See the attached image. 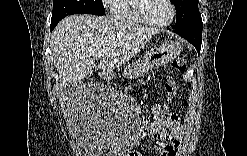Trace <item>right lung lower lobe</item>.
I'll return each mask as SVG.
<instances>
[{
    "label": "right lung lower lobe",
    "mask_w": 247,
    "mask_h": 156,
    "mask_svg": "<svg viewBox=\"0 0 247 156\" xmlns=\"http://www.w3.org/2000/svg\"><path fill=\"white\" fill-rule=\"evenodd\" d=\"M58 22H52L51 21V26H50V29L51 31L55 28V26L57 25Z\"/></svg>",
    "instance_id": "obj_1"
}]
</instances>
